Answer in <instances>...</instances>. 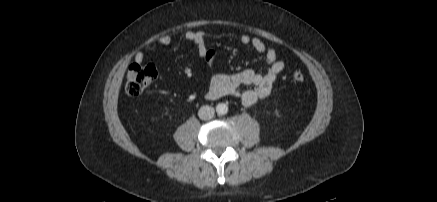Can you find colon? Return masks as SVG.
I'll return each instance as SVG.
<instances>
[{
	"label": "colon",
	"mask_w": 437,
	"mask_h": 202,
	"mask_svg": "<svg viewBox=\"0 0 437 202\" xmlns=\"http://www.w3.org/2000/svg\"><path fill=\"white\" fill-rule=\"evenodd\" d=\"M157 78V70L153 65L132 64L127 71L125 90L130 96H138L150 87ZM295 82H303L305 79L301 71L292 74Z\"/></svg>",
	"instance_id": "1"
}]
</instances>
